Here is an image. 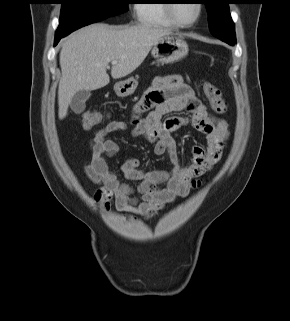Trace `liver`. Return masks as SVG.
<instances>
[{
	"label": "liver",
	"instance_id": "liver-1",
	"mask_svg": "<svg viewBox=\"0 0 290 321\" xmlns=\"http://www.w3.org/2000/svg\"><path fill=\"white\" fill-rule=\"evenodd\" d=\"M168 29L149 25L111 26L103 23L83 27L63 40L60 51L62 76L58 87V117L64 119L73 96L81 90L106 86L107 67L113 60L111 76L120 79L131 74Z\"/></svg>",
	"mask_w": 290,
	"mask_h": 321
}]
</instances>
